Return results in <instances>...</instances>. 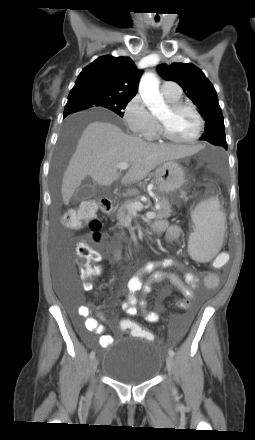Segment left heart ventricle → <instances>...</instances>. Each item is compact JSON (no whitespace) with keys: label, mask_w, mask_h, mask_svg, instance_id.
<instances>
[{"label":"left heart ventricle","mask_w":255,"mask_h":440,"mask_svg":"<svg viewBox=\"0 0 255 440\" xmlns=\"http://www.w3.org/2000/svg\"><path fill=\"white\" fill-rule=\"evenodd\" d=\"M158 119L165 122L169 132L177 139H188L194 136L198 128V120L189 109L172 112L167 108Z\"/></svg>","instance_id":"1"}]
</instances>
